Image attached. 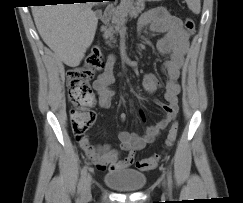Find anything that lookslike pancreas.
<instances>
[{
	"instance_id": "obj_1",
	"label": "pancreas",
	"mask_w": 243,
	"mask_h": 203,
	"mask_svg": "<svg viewBox=\"0 0 243 203\" xmlns=\"http://www.w3.org/2000/svg\"><path fill=\"white\" fill-rule=\"evenodd\" d=\"M143 0H122L120 5L112 11L111 24L107 23L108 28H103L104 38L109 39L108 43H115L114 34L127 21V16L137 17L144 10Z\"/></svg>"
}]
</instances>
